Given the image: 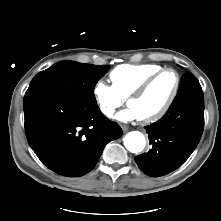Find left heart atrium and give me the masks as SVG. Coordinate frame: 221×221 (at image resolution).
<instances>
[{"instance_id":"left-heart-atrium-1","label":"left heart atrium","mask_w":221,"mask_h":221,"mask_svg":"<svg viewBox=\"0 0 221 221\" xmlns=\"http://www.w3.org/2000/svg\"><path fill=\"white\" fill-rule=\"evenodd\" d=\"M116 119L119 122L128 123L131 121L139 120L140 118H139V115L136 112V110L134 108L128 106L127 108H125L117 113Z\"/></svg>"}]
</instances>
